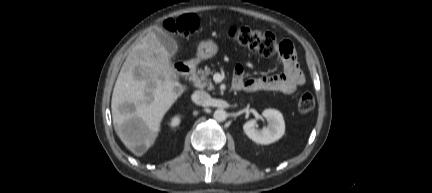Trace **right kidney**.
Masks as SVG:
<instances>
[{"label":"right kidney","mask_w":432,"mask_h":193,"mask_svg":"<svg viewBox=\"0 0 432 193\" xmlns=\"http://www.w3.org/2000/svg\"><path fill=\"white\" fill-rule=\"evenodd\" d=\"M180 123V118L178 116H175L174 118L171 119L170 125L172 127H176L177 125H179Z\"/></svg>","instance_id":"obj_1"}]
</instances>
